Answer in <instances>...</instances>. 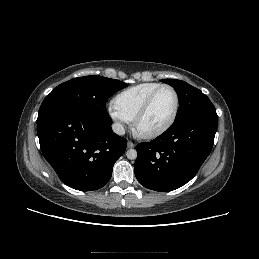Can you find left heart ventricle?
Masks as SVG:
<instances>
[{"label": "left heart ventricle", "instance_id": "obj_1", "mask_svg": "<svg viewBox=\"0 0 259 259\" xmlns=\"http://www.w3.org/2000/svg\"><path fill=\"white\" fill-rule=\"evenodd\" d=\"M175 96L168 88L161 89L155 96L147 115L140 122L142 132H151L164 125L172 115Z\"/></svg>", "mask_w": 259, "mask_h": 259}]
</instances>
